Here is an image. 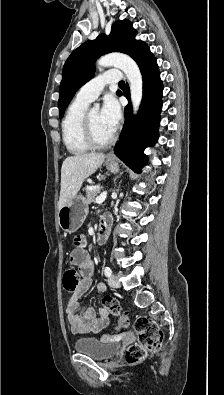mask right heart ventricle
<instances>
[{
	"instance_id": "obj_1",
	"label": "right heart ventricle",
	"mask_w": 224,
	"mask_h": 395,
	"mask_svg": "<svg viewBox=\"0 0 224 395\" xmlns=\"http://www.w3.org/2000/svg\"><path fill=\"white\" fill-rule=\"evenodd\" d=\"M88 104L76 97L69 105L62 121L64 144L68 151L74 155L83 154L90 149L82 132V120Z\"/></svg>"
}]
</instances>
